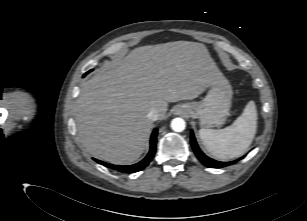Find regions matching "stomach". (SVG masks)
<instances>
[{
  "label": "stomach",
  "mask_w": 307,
  "mask_h": 221,
  "mask_svg": "<svg viewBox=\"0 0 307 221\" xmlns=\"http://www.w3.org/2000/svg\"><path fill=\"white\" fill-rule=\"evenodd\" d=\"M233 91L229 81L222 77L209 88L206 96L198 102H188L179 105L186 114L199 119L202 128L218 127L229 115Z\"/></svg>",
  "instance_id": "0dacf381"
}]
</instances>
